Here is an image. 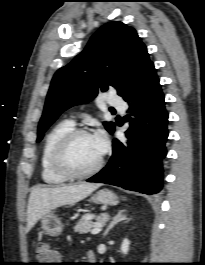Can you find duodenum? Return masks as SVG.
<instances>
[{"label":"duodenum","mask_w":205,"mask_h":265,"mask_svg":"<svg viewBox=\"0 0 205 265\" xmlns=\"http://www.w3.org/2000/svg\"><path fill=\"white\" fill-rule=\"evenodd\" d=\"M87 258H88V261L89 262H94L95 261V258H96L94 252L93 251H89L87 253Z\"/></svg>","instance_id":"1"}]
</instances>
